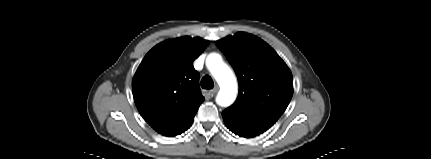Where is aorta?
<instances>
[{
    "instance_id": "obj_1",
    "label": "aorta",
    "mask_w": 431,
    "mask_h": 159,
    "mask_svg": "<svg viewBox=\"0 0 431 159\" xmlns=\"http://www.w3.org/2000/svg\"><path fill=\"white\" fill-rule=\"evenodd\" d=\"M206 66L220 86L216 103L223 107L230 106L237 95V81L232 70L222 61L221 56L215 53L208 55Z\"/></svg>"
}]
</instances>
